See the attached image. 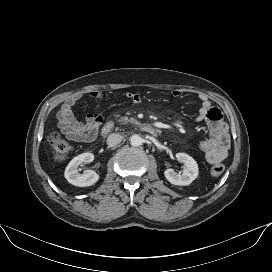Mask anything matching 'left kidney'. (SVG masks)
<instances>
[{
	"label": "left kidney",
	"instance_id": "obj_1",
	"mask_svg": "<svg viewBox=\"0 0 272 272\" xmlns=\"http://www.w3.org/2000/svg\"><path fill=\"white\" fill-rule=\"evenodd\" d=\"M176 158L185 164V169H183L182 174L176 173L173 169H167L164 172L165 178L173 185H190L199 173L197 162L186 153H177Z\"/></svg>",
	"mask_w": 272,
	"mask_h": 272
}]
</instances>
